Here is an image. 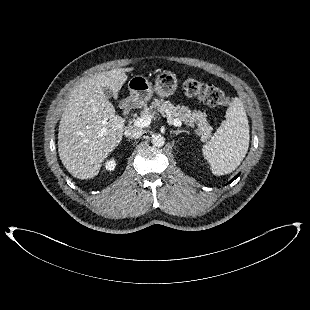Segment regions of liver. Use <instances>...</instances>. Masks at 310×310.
<instances>
[{
  "mask_svg": "<svg viewBox=\"0 0 310 310\" xmlns=\"http://www.w3.org/2000/svg\"><path fill=\"white\" fill-rule=\"evenodd\" d=\"M117 68L96 74L81 82L72 92L62 114L58 132V152L67 171L78 179L95 177L104 160L119 145L124 120L116 115L103 88L117 96L127 80ZM105 132L99 136L101 130Z\"/></svg>",
  "mask_w": 310,
  "mask_h": 310,
  "instance_id": "liver-1",
  "label": "liver"
}]
</instances>
